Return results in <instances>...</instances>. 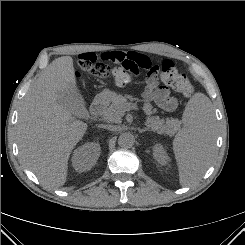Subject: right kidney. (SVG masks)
Returning <instances> with one entry per match:
<instances>
[{"mask_svg": "<svg viewBox=\"0 0 245 245\" xmlns=\"http://www.w3.org/2000/svg\"><path fill=\"white\" fill-rule=\"evenodd\" d=\"M99 143H86L78 147L72 157V165L78 172L90 170L97 162L100 155Z\"/></svg>", "mask_w": 245, "mask_h": 245, "instance_id": "obj_1", "label": "right kidney"}]
</instances>
